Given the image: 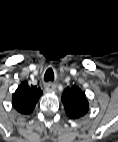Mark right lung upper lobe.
<instances>
[{"label": "right lung upper lobe", "instance_id": "cb5924a9", "mask_svg": "<svg viewBox=\"0 0 118 142\" xmlns=\"http://www.w3.org/2000/svg\"><path fill=\"white\" fill-rule=\"evenodd\" d=\"M42 94V90L37 86L22 82L12 96L13 107L22 114H30Z\"/></svg>", "mask_w": 118, "mask_h": 142}]
</instances>
